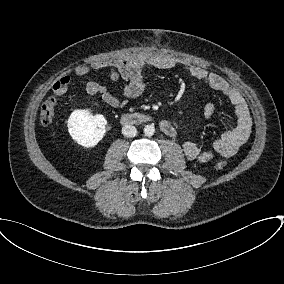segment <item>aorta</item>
<instances>
[{
    "label": "aorta",
    "instance_id": "aorta-1",
    "mask_svg": "<svg viewBox=\"0 0 284 284\" xmlns=\"http://www.w3.org/2000/svg\"><path fill=\"white\" fill-rule=\"evenodd\" d=\"M155 133V127L153 125H146L144 127V134L146 136H152Z\"/></svg>",
    "mask_w": 284,
    "mask_h": 284
}]
</instances>
